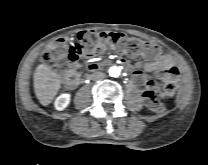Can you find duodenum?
<instances>
[{"instance_id": "obj_1", "label": "duodenum", "mask_w": 208, "mask_h": 165, "mask_svg": "<svg viewBox=\"0 0 208 165\" xmlns=\"http://www.w3.org/2000/svg\"><path fill=\"white\" fill-rule=\"evenodd\" d=\"M98 69V66L97 65H93L90 67L89 71H88V75L94 71H96Z\"/></svg>"}]
</instances>
